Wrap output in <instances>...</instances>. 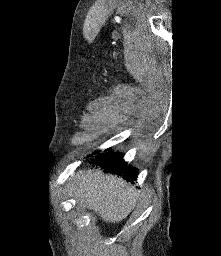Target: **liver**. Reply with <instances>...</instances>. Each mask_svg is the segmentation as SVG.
<instances>
[{"label":"liver","instance_id":"6515ba94","mask_svg":"<svg viewBox=\"0 0 221 256\" xmlns=\"http://www.w3.org/2000/svg\"><path fill=\"white\" fill-rule=\"evenodd\" d=\"M69 187L78 202L112 223L128 216L138 196L137 190L125 180L100 169L77 172Z\"/></svg>","mask_w":221,"mask_h":256}]
</instances>
